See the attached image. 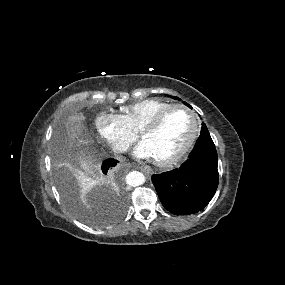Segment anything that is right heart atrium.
Returning <instances> with one entry per match:
<instances>
[{
    "label": "right heart atrium",
    "mask_w": 285,
    "mask_h": 285,
    "mask_svg": "<svg viewBox=\"0 0 285 285\" xmlns=\"http://www.w3.org/2000/svg\"><path fill=\"white\" fill-rule=\"evenodd\" d=\"M98 135L118 152L125 151L135 140L136 134L119 115L100 114L95 120Z\"/></svg>",
    "instance_id": "d8ad5b80"
}]
</instances>
